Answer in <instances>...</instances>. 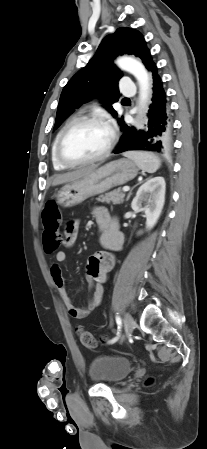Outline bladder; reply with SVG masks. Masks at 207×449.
<instances>
[{"instance_id":"obj_1","label":"bladder","mask_w":207,"mask_h":449,"mask_svg":"<svg viewBox=\"0 0 207 449\" xmlns=\"http://www.w3.org/2000/svg\"><path fill=\"white\" fill-rule=\"evenodd\" d=\"M132 370V363L123 357L100 355L94 357L89 365L92 381L113 384L124 379Z\"/></svg>"}]
</instances>
